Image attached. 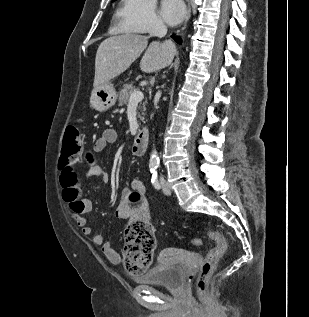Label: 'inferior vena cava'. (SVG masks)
Returning a JSON list of instances; mask_svg holds the SVG:
<instances>
[{"label": "inferior vena cava", "instance_id": "inferior-vena-cava-1", "mask_svg": "<svg viewBox=\"0 0 309 317\" xmlns=\"http://www.w3.org/2000/svg\"><path fill=\"white\" fill-rule=\"evenodd\" d=\"M150 34L152 36L164 37L167 34V28L162 22L158 21L154 24Z\"/></svg>", "mask_w": 309, "mask_h": 317}]
</instances>
